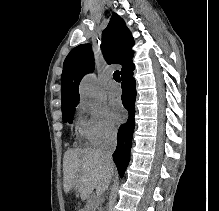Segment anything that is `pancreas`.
Listing matches in <instances>:
<instances>
[{"mask_svg":"<svg viewBox=\"0 0 219 211\" xmlns=\"http://www.w3.org/2000/svg\"><path fill=\"white\" fill-rule=\"evenodd\" d=\"M90 203L92 204L93 202L91 201ZM88 209H91V211H92V209H94V207H90V205H89Z\"/></svg>","mask_w":219,"mask_h":211,"instance_id":"cf45deb5","label":"pancreas"}]
</instances>
